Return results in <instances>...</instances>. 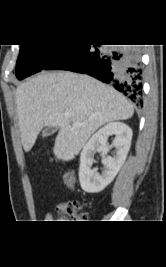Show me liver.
<instances>
[{"label": "liver", "mask_w": 166, "mask_h": 267, "mask_svg": "<svg viewBox=\"0 0 166 267\" xmlns=\"http://www.w3.org/2000/svg\"><path fill=\"white\" fill-rule=\"evenodd\" d=\"M16 104L24 150L32 149L44 127H57L53 152L65 161L74 159L102 125L127 120L134 113L131 102L113 87L87 75L61 71L42 72L19 85Z\"/></svg>", "instance_id": "obj_1"}]
</instances>
